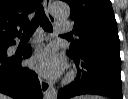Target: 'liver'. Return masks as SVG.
Instances as JSON below:
<instances>
[{"label": "liver", "instance_id": "6515ba94", "mask_svg": "<svg viewBox=\"0 0 128 99\" xmlns=\"http://www.w3.org/2000/svg\"><path fill=\"white\" fill-rule=\"evenodd\" d=\"M0 99H10L8 96H5L3 94H0ZM100 99V98H99Z\"/></svg>", "mask_w": 128, "mask_h": 99}]
</instances>
